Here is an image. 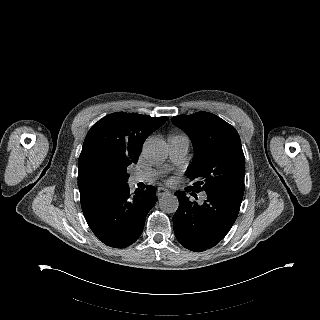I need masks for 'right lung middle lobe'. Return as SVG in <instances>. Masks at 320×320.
<instances>
[{
	"label": "right lung middle lobe",
	"instance_id": "right-lung-middle-lobe-1",
	"mask_svg": "<svg viewBox=\"0 0 320 320\" xmlns=\"http://www.w3.org/2000/svg\"><path fill=\"white\" fill-rule=\"evenodd\" d=\"M129 177V175L127 174L126 172V169H124L119 177V180L118 181H112L113 183L114 182H118V183H121V184H125L127 183L126 180L127 178Z\"/></svg>",
	"mask_w": 320,
	"mask_h": 320
}]
</instances>
